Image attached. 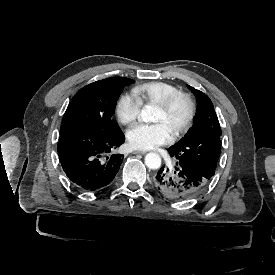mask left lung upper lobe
<instances>
[{"mask_svg":"<svg viewBox=\"0 0 275 275\" xmlns=\"http://www.w3.org/2000/svg\"><path fill=\"white\" fill-rule=\"evenodd\" d=\"M188 88L197 97L194 126L168 151L177 162L211 179L221 151L220 124L210 98L191 86Z\"/></svg>","mask_w":275,"mask_h":275,"instance_id":"1","label":"left lung upper lobe"}]
</instances>
